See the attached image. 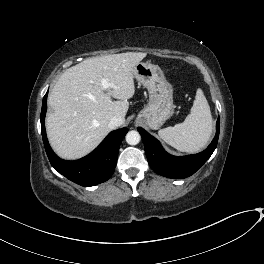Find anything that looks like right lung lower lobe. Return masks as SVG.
I'll return each instance as SVG.
<instances>
[{"label":"right lung lower lobe","mask_w":264,"mask_h":264,"mask_svg":"<svg viewBox=\"0 0 264 264\" xmlns=\"http://www.w3.org/2000/svg\"><path fill=\"white\" fill-rule=\"evenodd\" d=\"M47 95L48 92L43 98L40 121L44 147L53 168L74 183L85 187L107 181L114 172L120 143L128 132L127 128L109 133L98 148L82 159L76 161L60 159L51 149L46 136Z\"/></svg>","instance_id":"right-lung-lower-lobe-1"}]
</instances>
